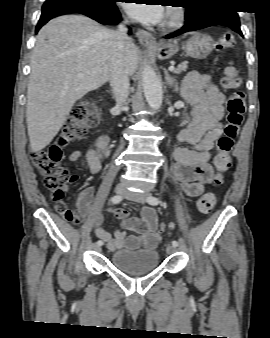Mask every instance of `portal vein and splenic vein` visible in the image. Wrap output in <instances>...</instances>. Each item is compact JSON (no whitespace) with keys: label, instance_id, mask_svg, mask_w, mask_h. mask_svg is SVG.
Instances as JSON below:
<instances>
[{"label":"portal vein and splenic vein","instance_id":"1","mask_svg":"<svg viewBox=\"0 0 270 338\" xmlns=\"http://www.w3.org/2000/svg\"><path fill=\"white\" fill-rule=\"evenodd\" d=\"M168 69H169V71H174L175 67L174 66H170ZM78 77H83V75L82 74H78Z\"/></svg>","mask_w":270,"mask_h":338}]
</instances>
